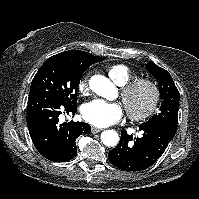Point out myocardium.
Here are the masks:
<instances>
[{"label": "myocardium", "instance_id": "1", "mask_svg": "<svg viewBox=\"0 0 199 199\" xmlns=\"http://www.w3.org/2000/svg\"><path fill=\"white\" fill-rule=\"evenodd\" d=\"M140 89H145L149 97L146 106L137 111L132 109L129 103L133 94ZM121 97L129 118L133 121H144L156 111L160 100V89L157 83L150 78H136L122 85Z\"/></svg>", "mask_w": 199, "mask_h": 199}]
</instances>
